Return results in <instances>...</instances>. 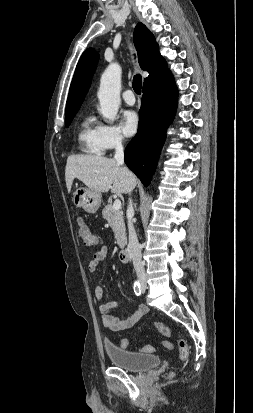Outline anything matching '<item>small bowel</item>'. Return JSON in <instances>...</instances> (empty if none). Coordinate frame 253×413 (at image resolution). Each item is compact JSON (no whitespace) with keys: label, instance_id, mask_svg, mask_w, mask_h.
Segmentation results:
<instances>
[{"label":"small bowel","instance_id":"c3829d8e","mask_svg":"<svg viewBox=\"0 0 253 413\" xmlns=\"http://www.w3.org/2000/svg\"><path fill=\"white\" fill-rule=\"evenodd\" d=\"M107 248L101 247L93 256L92 260L89 263V271L95 272L104 259L107 256ZM94 295L97 300H102L103 298V289L100 286H97L94 290ZM117 309L116 302H107L99 305V312L102 316V322L105 328L111 331H123L133 327L137 324L142 317L147 313V308L145 306H139L136 311L127 318L121 319L118 318L112 313Z\"/></svg>","mask_w":253,"mask_h":413}]
</instances>
